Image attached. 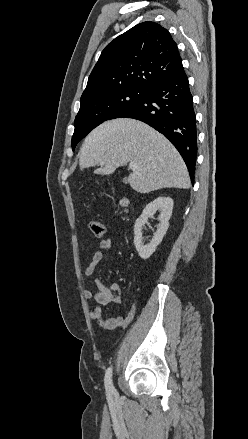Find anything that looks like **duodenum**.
<instances>
[{
  "label": "duodenum",
  "instance_id": "obj_1",
  "mask_svg": "<svg viewBox=\"0 0 248 439\" xmlns=\"http://www.w3.org/2000/svg\"><path fill=\"white\" fill-rule=\"evenodd\" d=\"M120 204H121L122 207L126 208L128 206V204H129V201H128V199L124 198V199H122L120 201Z\"/></svg>",
  "mask_w": 248,
  "mask_h": 439
}]
</instances>
